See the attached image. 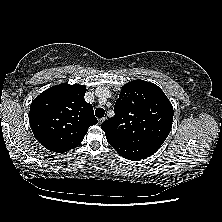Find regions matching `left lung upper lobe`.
<instances>
[{
	"mask_svg": "<svg viewBox=\"0 0 222 222\" xmlns=\"http://www.w3.org/2000/svg\"><path fill=\"white\" fill-rule=\"evenodd\" d=\"M114 111L101 125L108 142L159 149L172 127L170 101L161 88L143 80L122 87Z\"/></svg>",
	"mask_w": 222,
	"mask_h": 222,
	"instance_id": "1",
	"label": "left lung upper lobe"
}]
</instances>
